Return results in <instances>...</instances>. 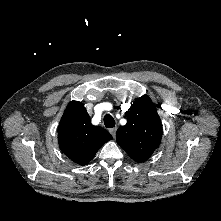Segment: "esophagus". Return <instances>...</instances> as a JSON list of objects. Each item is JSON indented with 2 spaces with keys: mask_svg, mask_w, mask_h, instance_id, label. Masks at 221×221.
<instances>
[{
  "mask_svg": "<svg viewBox=\"0 0 221 221\" xmlns=\"http://www.w3.org/2000/svg\"><path fill=\"white\" fill-rule=\"evenodd\" d=\"M116 130H117L116 127L111 128V129L109 130L110 134H111L113 137H115V135H116Z\"/></svg>",
  "mask_w": 221,
  "mask_h": 221,
  "instance_id": "1",
  "label": "esophagus"
}]
</instances>
